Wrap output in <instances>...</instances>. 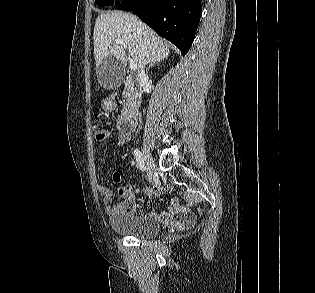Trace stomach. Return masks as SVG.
I'll return each mask as SVG.
<instances>
[{
    "instance_id": "stomach-1",
    "label": "stomach",
    "mask_w": 315,
    "mask_h": 293,
    "mask_svg": "<svg viewBox=\"0 0 315 293\" xmlns=\"http://www.w3.org/2000/svg\"><path fill=\"white\" fill-rule=\"evenodd\" d=\"M100 101L104 110H116L117 103H120V96H101Z\"/></svg>"
}]
</instances>
